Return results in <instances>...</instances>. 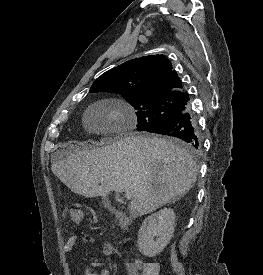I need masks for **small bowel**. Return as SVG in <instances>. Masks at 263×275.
Returning a JSON list of instances; mask_svg holds the SVG:
<instances>
[{"instance_id": "1", "label": "small bowel", "mask_w": 263, "mask_h": 275, "mask_svg": "<svg viewBox=\"0 0 263 275\" xmlns=\"http://www.w3.org/2000/svg\"><path fill=\"white\" fill-rule=\"evenodd\" d=\"M87 236L85 234H73L70 236L65 244V251L71 253L78 242V240H86ZM102 252L106 257H110L114 254V248L109 243H104L102 245ZM104 264L98 260L91 262L85 267L84 275H110L108 269L103 268ZM97 269H100L97 271ZM128 275H141L140 269L137 268L133 263L128 264Z\"/></svg>"}]
</instances>
